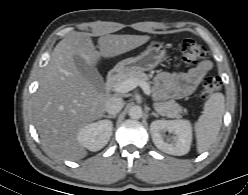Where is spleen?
I'll return each instance as SVG.
<instances>
[{
    "label": "spleen",
    "mask_w": 248,
    "mask_h": 195,
    "mask_svg": "<svg viewBox=\"0 0 248 195\" xmlns=\"http://www.w3.org/2000/svg\"><path fill=\"white\" fill-rule=\"evenodd\" d=\"M225 111V98L222 93H214L204 104L203 114L195 123L197 151H207L216 141Z\"/></svg>",
    "instance_id": "1"
}]
</instances>
